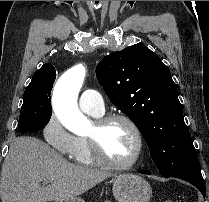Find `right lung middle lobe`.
Returning <instances> with one entry per match:
<instances>
[{
	"label": "right lung middle lobe",
	"mask_w": 209,
	"mask_h": 202,
	"mask_svg": "<svg viewBox=\"0 0 209 202\" xmlns=\"http://www.w3.org/2000/svg\"><path fill=\"white\" fill-rule=\"evenodd\" d=\"M55 78L39 77L31 80L24 91L19 132H37L48 124L52 115L50 94Z\"/></svg>",
	"instance_id": "obj_1"
}]
</instances>
